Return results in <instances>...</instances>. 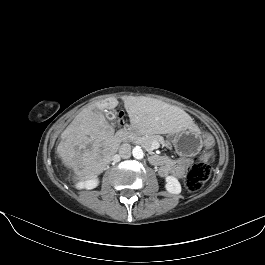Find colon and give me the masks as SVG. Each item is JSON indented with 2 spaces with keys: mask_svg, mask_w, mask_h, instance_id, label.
Segmentation results:
<instances>
[{
  "mask_svg": "<svg viewBox=\"0 0 265 265\" xmlns=\"http://www.w3.org/2000/svg\"><path fill=\"white\" fill-rule=\"evenodd\" d=\"M124 115L122 112L118 114L119 123H123ZM213 144V139L210 136H206L205 145L211 147ZM211 175V165L208 162L200 161L194 163L188 170L186 175L185 184L189 191L197 192L199 191L204 183L209 179Z\"/></svg>",
  "mask_w": 265,
  "mask_h": 265,
  "instance_id": "1",
  "label": "colon"
}]
</instances>
